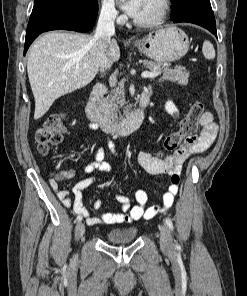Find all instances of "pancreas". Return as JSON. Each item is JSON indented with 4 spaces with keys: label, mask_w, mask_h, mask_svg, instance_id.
Masks as SVG:
<instances>
[{
    "label": "pancreas",
    "mask_w": 247,
    "mask_h": 296,
    "mask_svg": "<svg viewBox=\"0 0 247 296\" xmlns=\"http://www.w3.org/2000/svg\"><path fill=\"white\" fill-rule=\"evenodd\" d=\"M143 65L151 72L163 70V76L160 78V81L168 80L180 85H186L188 83L189 72L185 67L177 65L172 69L169 68V65H163L162 63L149 60H143ZM125 95L124 85L121 83L112 89L110 94L101 102L102 111L113 122H118L123 118L120 110L123 111L124 115L129 113Z\"/></svg>",
    "instance_id": "cf45deb5"
}]
</instances>
